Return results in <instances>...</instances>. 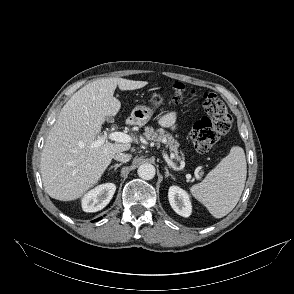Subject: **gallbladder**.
<instances>
[{"instance_id":"1","label":"gallbladder","mask_w":294,"mask_h":294,"mask_svg":"<svg viewBox=\"0 0 294 294\" xmlns=\"http://www.w3.org/2000/svg\"><path fill=\"white\" fill-rule=\"evenodd\" d=\"M107 121L111 122V121H112V119H111V118H107Z\"/></svg>"}]
</instances>
